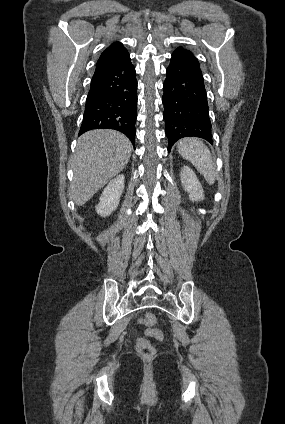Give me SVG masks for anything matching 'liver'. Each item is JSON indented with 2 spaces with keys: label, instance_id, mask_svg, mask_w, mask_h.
Here are the masks:
<instances>
[{
  "label": "liver",
  "instance_id": "obj_1",
  "mask_svg": "<svg viewBox=\"0 0 285 424\" xmlns=\"http://www.w3.org/2000/svg\"><path fill=\"white\" fill-rule=\"evenodd\" d=\"M130 140L109 129L88 131L78 139L74 156L71 192L77 205H84L127 165Z\"/></svg>",
  "mask_w": 285,
  "mask_h": 424
}]
</instances>
